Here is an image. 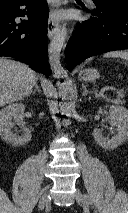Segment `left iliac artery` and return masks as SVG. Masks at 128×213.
Instances as JSON below:
<instances>
[{
	"label": "left iliac artery",
	"instance_id": "44dca946",
	"mask_svg": "<svg viewBox=\"0 0 128 213\" xmlns=\"http://www.w3.org/2000/svg\"><path fill=\"white\" fill-rule=\"evenodd\" d=\"M83 197H84V200L87 204L93 205L91 198L87 194H84ZM95 213H97V212L95 211Z\"/></svg>",
	"mask_w": 128,
	"mask_h": 213
}]
</instances>
